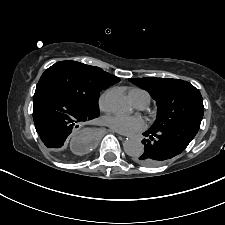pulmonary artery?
<instances>
[{
    "mask_svg": "<svg viewBox=\"0 0 225 225\" xmlns=\"http://www.w3.org/2000/svg\"><path fill=\"white\" fill-rule=\"evenodd\" d=\"M130 97L138 108H145L149 104V95L146 92L135 91Z\"/></svg>",
    "mask_w": 225,
    "mask_h": 225,
    "instance_id": "e3ab8cb5",
    "label": "pulmonary artery"
}]
</instances>
